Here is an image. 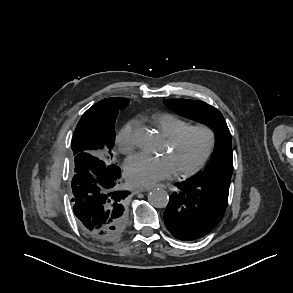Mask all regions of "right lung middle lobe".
I'll use <instances>...</instances> for the list:
<instances>
[{
	"mask_svg": "<svg viewBox=\"0 0 293 293\" xmlns=\"http://www.w3.org/2000/svg\"><path fill=\"white\" fill-rule=\"evenodd\" d=\"M128 103V99L117 98L91 111L87 110L73 134V154L94 152L95 156L107 164H113L111 151L115 143V121L119 110Z\"/></svg>",
	"mask_w": 293,
	"mask_h": 293,
	"instance_id": "1",
	"label": "right lung middle lobe"
}]
</instances>
